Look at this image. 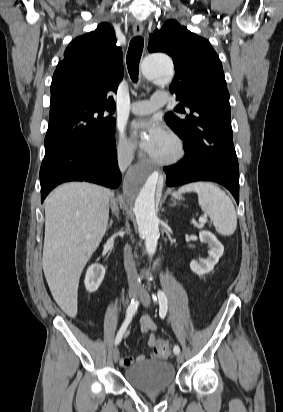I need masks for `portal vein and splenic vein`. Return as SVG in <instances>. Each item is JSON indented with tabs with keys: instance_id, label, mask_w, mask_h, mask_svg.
Here are the masks:
<instances>
[{
	"instance_id": "portal-vein-and-splenic-vein-1",
	"label": "portal vein and splenic vein",
	"mask_w": 283,
	"mask_h": 412,
	"mask_svg": "<svg viewBox=\"0 0 283 412\" xmlns=\"http://www.w3.org/2000/svg\"><path fill=\"white\" fill-rule=\"evenodd\" d=\"M206 221H207L206 217H200L199 218V222H200L201 225H204L206 223Z\"/></svg>"
}]
</instances>
